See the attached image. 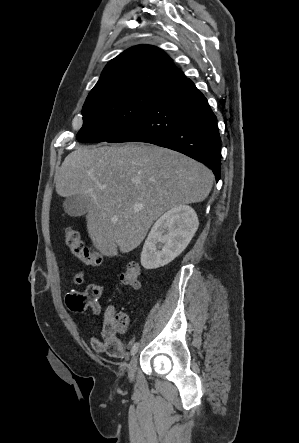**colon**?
Masks as SVG:
<instances>
[{
	"mask_svg": "<svg viewBox=\"0 0 299 443\" xmlns=\"http://www.w3.org/2000/svg\"><path fill=\"white\" fill-rule=\"evenodd\" d=\"M64 240L66 245L70 248L74 256L88 266H97L102 261L101 253L94 247L85 246L80 238L79 233L67 227L64 230ZM139 266L135 262L127 264L120 275V282L122 285L137 288L139 285ZM127 325V317L123 313L116 314L108 322L107 327L110 332L118 334Z\"/></svg>",
	"mask_w": 299,
	"mask_h": 443,
	"instance_id": "5ec220e1",
	"label": "colon"
}]
</instances>
